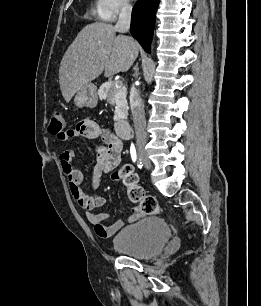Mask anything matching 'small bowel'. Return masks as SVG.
Returning <instances> with one entry per match:
<instances>
[{
    "label": "small bowel",
    "mask_w": 261,
    "mask_h": 306,
    "mask_svg": "<svg viewBox=\"0 0 261 306\" xmlns=\"http://www.w3.org/2000/svg\"><path fill=\"white\" fill-rule=\"evenodd\" d=\"M83 137L96 145V161L91 173V183L96 184L100 178L116 168L121 160L123 142L113 137L107 130L94 120H83L74 129L67 130V136L63 140ZM75 152L72 149L65 150L59 157L64 175L69 182L71 194L77 204L85 210L87 220L93 224L95 233L101 238H109L116 234L123 226L122 220H117L111 225L104 222L110 217L107 212H97L96 209L105 206L106 199L100 195H89L83 188L84 176L73 163ZM141 216L137 207L132 209L130 222L136 221Z\"/></svg>",
    "instance_id": "1"
}]
</instances>
